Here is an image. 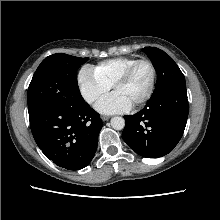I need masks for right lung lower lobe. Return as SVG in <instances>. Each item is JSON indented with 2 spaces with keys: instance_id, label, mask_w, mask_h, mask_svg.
<instances>
[{
  "instance_id": "98d812e1",
  "label": "right lung lower lobe",
  "mask_w": 220,
  "mask_h": 220,
  "mask_svg": "<svg viewBox=\"0 0 220 220\" xmlns=\"http://www.w3.org/2000/svg\"><path fill=\"white\" fill-rule=\"evenodd\" d=\"M29 120L38 147L56 165L79 170L93 159L103 123L87 103L76 109L48 107L30 114Z\"/></svg>"
}]
</instances>
